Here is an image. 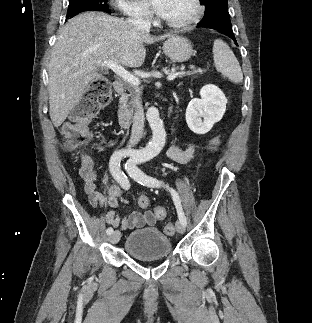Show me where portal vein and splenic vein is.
<instances>
[{"label":"portal vein and splenic vein","mask_w":312,"mask_h":323,"mask_svg":"<svg viewBox=\"0 0 312 323\" xmlns=\"http://www.w3.org/2000/svg\"><path fill=\"white\" fill-rule=\"evenodd\" d=\"M100 66H102V68H104V66L105 68H110V70H113V72H115L117 76L123 78L125 82H129L131 86H139L140 84L138 78H135V76L129 74L127 70H124L122 66H119V64H115V62H103L102 60V62H100ZM184 74H186V72H171V74L167 76V80H175L176 76H184Z\"/></svg>","instance_id":"18ae733b"}]
</instances>
